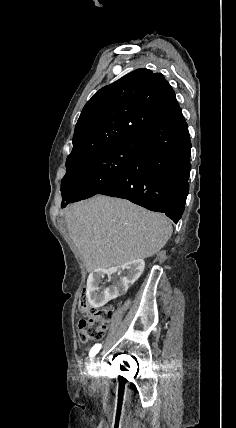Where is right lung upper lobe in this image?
Segmentation results:
<instances>
[{"mask_svg":"<svg viewBox=\"0 0 236 428\" xmlns=\"http://www.w3.org/2000/svg\"><path fill=\"white\" fill-rule=\"evenodd\" d=\"M180 107L160 73L140 68L101 88L84 106L75 126L66 167L120 142L137 139Z\"/></svg>","mask_w":236,"mask_h":428,"instance_id":"1","label":"right lung upper lobe"}]
</instances>
